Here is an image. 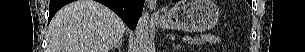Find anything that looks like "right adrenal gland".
<instances>
[{"instance_id":"2a0ac1e0","label":"right adrenal gland","mask_w":305,"mask_h":52,"mask_svg":"<svg viewBox=\"0 0 305 52\" xmlns=\"http://www.w3.org/2000/svg\"><path fill=\"white\" fill-rule=\"evenodd\" d=\"M122 43L123 40H120L116 45L112 47V50L118 49V51L121 52Z\"/></svg>"}]
</instances>
